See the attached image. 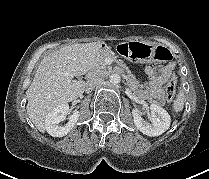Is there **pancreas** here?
I'll return each mask as SVG.
<instances>
[{
    "instance_id": "pancreas-1",
    "label": "pancreas",
    "mask_w": 209,
    "mask_h": 179,
    "mask_svg": "<svg viewBox=\"0 0 209 179\" xmlns=\"http://www.w3.org/2000/svg\"><path fill=\"white\" fill-rule=\"evenodd\" d=\"M106 57L112 58L117 64H118V72L121 73L126 81V84L129 86V88L136 92L139 89V82L136 80L135 76L131 73V71L128 69L126 64L117 59V56H115L112 52H105V57L100 59L96 65V67L92 71V77L93 78H103L107 76L108 71L106 70V64L104 62Z\"/></svg>"
}]
</instances>
